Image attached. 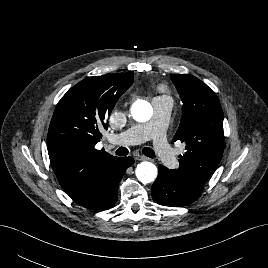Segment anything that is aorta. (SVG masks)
I'll use <instances>...</instances> for the list:
<instances>
[{"instance_id": "aorta-1", "label": "aorta", "mask_w": 268, "mask_h": 268, "mask_svg": "<svg viewBox=\"0 0 268 268\" xmlns=\"http://www.w3.org/2000/svg\"><path fill=\"white\" fill-rule=\"evenodd\" d=\"M153 108L151 104L145 100H137L131 107V115L137 122H147L151 119ZM157 167L151 162L144 161L138 164L135 173L137 179L148 184L153 182L157 177Z\"/></svg>"}]
</instances>
